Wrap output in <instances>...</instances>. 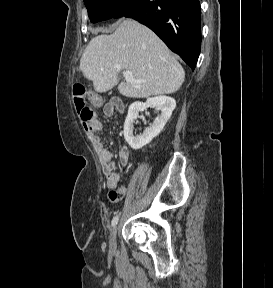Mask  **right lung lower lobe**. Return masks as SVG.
<instances>
[{
    "instance_id": "1",
    "label": "right lung lower lobe",
    "mask_w": 273,
    "mask_h": 288,
    "mask_svg": "<svg viewBox=\"0 0 273 288\" xmlns=\"http://www.w3.org/2000/svg\"><path fill=\"white\" fill-rule=\"evenodd\" d=\"M123 16L149 27L195 69L201 47L199 0H137Z\"/></svg>"
}]
</instances>
